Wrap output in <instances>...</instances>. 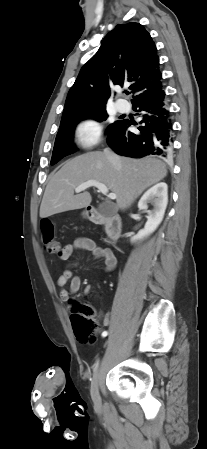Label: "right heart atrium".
I'll return each mask as SVG.
<instances>
[{
	"label": "right heart atrium",
	"instance_id": "right-heart-atrium-1",
	"mask_svg": "<svg viewBox=\"0 0 207 449\" xmlns=\"http://www.w3.org/2000/svg\"><path fill=\"white\" fill-rule=\"evenodd\" d=\"M75 132L78 143L83 147H89L100 139L102 126L98 120L87 117L77 124Z\"/></svg>",
	"mask_w": 207,
	"mask_h": 449
}]
</instances>
